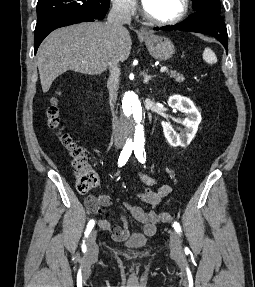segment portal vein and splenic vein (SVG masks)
Here are the masks:
<instances>
[{
	"label": "portal vein and splenic vein",
	"mask_w": 255,
	"mask_h": 287,
	"mask_svg": "<svg viewBox=\"0 0 255 287\" xmlns=\"http://www.w3.org/2000/svg\"><path fill=\"white\" fill-rule=\"evenodd\" d=\"M166 70H167V68H165V66H164V68H161L160 72H166Z\"/></svg>",
	"instance_id": "obj_1"
}]
</instances>
